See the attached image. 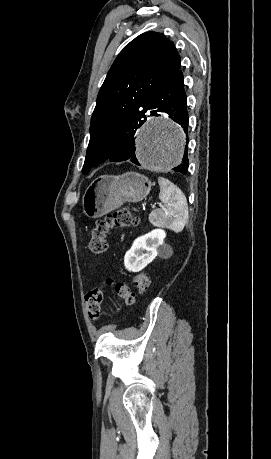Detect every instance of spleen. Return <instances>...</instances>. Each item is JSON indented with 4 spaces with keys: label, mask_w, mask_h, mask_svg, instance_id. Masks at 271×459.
<instances>
[{
    "label": "spleen",
    "mask_w": 271,
    "mask_h": 459,
    "mask_svg": "<svg viewBox=\"0 0 271 459\" xmlns=\"http://www.w3.org/2000/svg\"><path fill=\"white\" fill-rule=\"evenodd\" d=\"M160 188L159 200L162 208L152 212L151 224L157 228H168L173 231H182L188 222V206L186 198L172 182L166 178H158Z\"/></svg>",
    "instance_id": "obj_1"
}]
</instances>
